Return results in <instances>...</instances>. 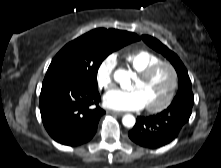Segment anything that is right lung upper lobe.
Listing matches in <instances>:
<instances>
[{
  "label": "right lung upper lobe",
  "instance_id": "right-lung-upper-lobe-1",
  "mask_svg": "<svg viewBox=\"0 0 221 168\" xmlns=\"http://www.w3.org/2000/svg\"><path fill=\"white\" fill-rule=\"evenodd\" d=\"M130 34H132L137 40H139V37L136 34H134V33H130Z\"/></svg>",
  "mask_w": 221,
  "mask_h": 168
}]
</instances>
